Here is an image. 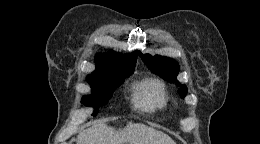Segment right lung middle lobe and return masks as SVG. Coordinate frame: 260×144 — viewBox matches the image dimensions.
Masks as SVG:
<instances>
[{"label":"right lung middle lobe","instance_id":"1","mask_svg":"<svg viewBox=\"0 0 260 144\" xmlns=\"http://www.w3.org/2000/svg\"><path fill=\"white\" fill-rule=\"evenodd\" d=\"M134 71H129L121 74H110L105 76L87 77V81L92 88V95L83 96L81 103L85 106L94 107L93 116L98 113L99 107L105 105L112 96L115 90L123 79L130 76Z\"/></svg>","mask_w":260,"mask_h":144}]
</instances>
